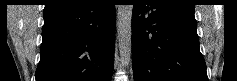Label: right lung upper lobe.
I'll return each mask as SVG.
<instances>
[{
  "instance_id": "obj_1",
  "label": "right lung upper lobe",
  "mask_w": 237,
  "mask_h": 81,
  "mask_svg": "<svg viewBox=\"0 0 237 81\" xmlns=\"http://www.w3.org/2000/svg\"><path fill=\"white\" fill-rule=\"evenodd\" d=\"M79 1L80 0H48L43 13L46 14L56 10L68 8L75 5Z\"/></svg>"
}]
</instances>
